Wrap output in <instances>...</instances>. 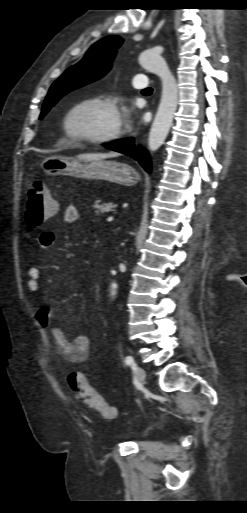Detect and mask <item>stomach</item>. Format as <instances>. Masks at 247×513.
<instances>
[{
  "label": "stomach",
  "instance_id": "1",
  "mask_svg": "<svg viewBox=\"0 0 247 513\" xmlns=\"http://www.w3.org/2000/svg\"><path fill=\"white\" fill-rule=\"evenodd\" d=\"M41 167L48 175L105 180L125 186H132L140 180V175L130 165L105 159L84 160L50 156L43 160Z\"/></svg>",
  "mask_w": 247,
  "mask_h": 513
}]
</instances>
